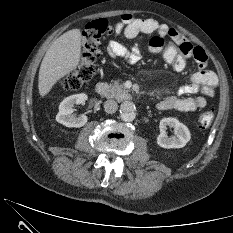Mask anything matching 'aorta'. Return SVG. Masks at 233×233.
Listing matches in <instances>:
<instances>
[{"label":"aorta","instance_id":"aorta-1","mask_svg":"<svg viewBox=\"0 0 233 233\" xmlns=\"http://www.w3.org/2000/svg\"><path fill=\"white\" fill-rule=\"evenodd\" d=\"M120 117L125 122H131L136 117V106L132 101H124L120 105Z\"/></svg>","mask_w":233,"mask_h":233}]
</instances>
